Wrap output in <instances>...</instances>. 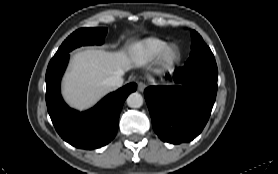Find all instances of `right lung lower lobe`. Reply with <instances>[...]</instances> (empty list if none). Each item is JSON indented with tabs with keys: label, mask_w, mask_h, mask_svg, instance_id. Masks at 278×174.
I'll return each instance as SVG.
<instances>
[{
	"label": "right lung lower lobe",
	"mask_w": 278,
	"mask_h": 174,
	"mask_svg": "<svg viewBox=\"0 0 278 174\" xmlns=\"http://www.w3.org/2000/svg\"><path fill=\"white\" fill-rule=\"evenodd\" d=\"M69 54L51 59L46 71V104L58 134L68 143L83 149L99 148L108 144L118 130L119 115L127 96L137 88L130 83L103 98L95 107L78 112L69 108L60 94L61 76Z\"/></svg>",
	"instance_id": "right-lung-lower-lobe-1"
}]
</instances>
